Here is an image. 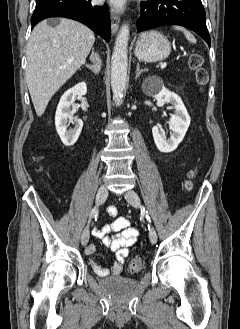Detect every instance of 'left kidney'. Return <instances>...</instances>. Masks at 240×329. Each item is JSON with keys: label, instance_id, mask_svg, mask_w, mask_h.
<instances>
[{"label": "left kidney", "instance_id": "1", "mask_svg": "<svg viewBox=\"0 0 240 329\" xmlns=\"http://www.w3.org/2000/svg\"><path fill=\"white\" fill-rule=\"evenodd\" d=\"M142 88L146 94L154 97L159 103H170L175 109V113L169 121L172 130L170 138L163 137L157 126L152 128L153 139L158 150L163 153H170L178 147L190 125L191 119L187 109L178 95L164 87L160 77H149L143 83Z\"/></svg>", "mask_w": 240, "mask_h": 329}]
</instances>
